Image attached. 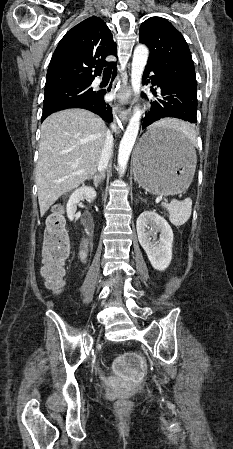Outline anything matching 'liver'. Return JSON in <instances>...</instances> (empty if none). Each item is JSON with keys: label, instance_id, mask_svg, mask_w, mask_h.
<instances>
[{"label": "liver", "instance_id": "6515ba94", "mask_svg": "<svg viewBox=\"0 0 233 449\" xmlns=\"http://www.w3.org/2000/svg\"><path fill=\"white\" fill-rule=\"evenodd\" d=\"M158 123L184 125L174 119ZM107 132L104 121L84 109L63 110L45 119L35 169L42 216L60 196L96 173Z\"/></svg>", "mask_w": 233, "mask_h": 449}]
</instances>
